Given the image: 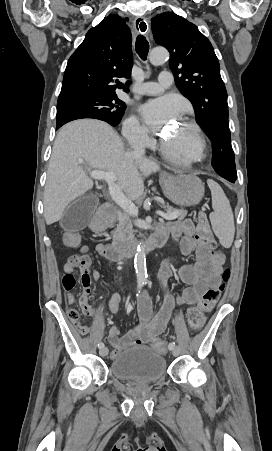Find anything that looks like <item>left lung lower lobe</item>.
<instances>
[{"mask_svg":"<svg viewBox=\"0 0 272 451\" xmlns=\"http://www.w3.org/2000/svg\"><path fill=\"white\" fill-rule=\"evenodd\" d=\"M225 179H227L230 182H235V180H236V178H225Z\"/></svg>","mask_w":272,"mask_h":451,"instance_id":"left-lung-lower-lobe-1","label":"left lung lower lobe"}]
</instances>
